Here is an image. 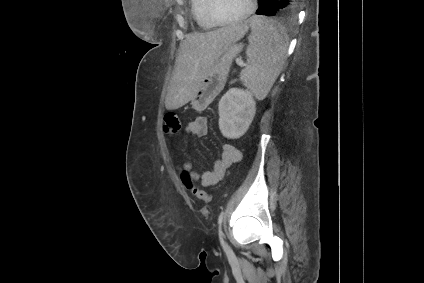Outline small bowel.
Returning <instances> with one entry per match:
<instances>
[{"label":"small bowel","instance_id":"small-bowel-1","mask_svg":"<svg viewBox=\"0 0 424 283\" xmlns=\"http://www.w3.org/2000/svg\"><path fill=\"white\" fill-rule=\"evenodd\" d=\"M209 130L208 119L205 116H199L188 123L186 131L196 137L207 135ZM241 158L240 150L232 144H224L221 157L215 161L211 170L202 173L194 170L190 162H185L179 167L180 173H188L193 182H199L203 187H210L217 184L225 175L228 168L237 163Z\"/></svg>","mask_w":424,"mask_h":283}]
</instances>
